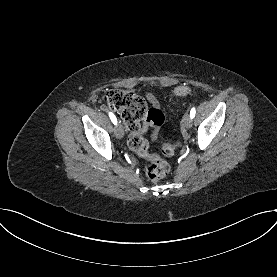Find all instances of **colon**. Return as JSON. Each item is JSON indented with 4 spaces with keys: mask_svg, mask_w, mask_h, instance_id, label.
I'll return each instance as SVG.
<instances>
[{
    "mask_svg": "<svg viewBox=\"0 0 277 277\" xmlns=\"http://www.w3.org/2000/svg\"><path fill=\"white\" fill-rule=\"evenodd\" d=\"M191 92L188 86H179L174 89V96H185ZM103 100L106 105L119 113L126 126L131 131L128 145L138 156L150 161L146 169V176L152 182L164 178L169 170V164L158 155L149 152L148 142L143 137L141 122L152 128V137L156 138L160 126L164 122V115L156 108L149 109L144 99L128 90L111 89L104 93ZM177 146L166 142L162 144V153L171 157L175 154Z\"/></svg>",
    "mask_w": 277,
    "mask_h": 277,
    "instance_id": "obj_1",
    "label": "colon"
}]
</instances>
